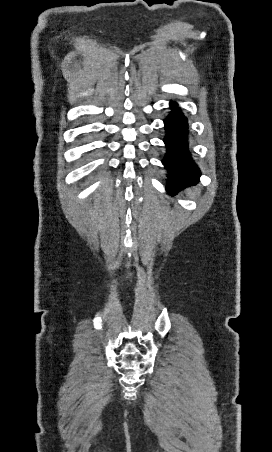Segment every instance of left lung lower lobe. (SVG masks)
Returning a JSON list of instances; mask_svg holds the SVG:
<instances>
[{"instance_id":"0a47b994","label":"left lung lower lobe","mask_w":272,"mask_h":452,"mask_svg":"<svg viewBox=\"0 0 272 452\" xmlns=\"http://www.w3.org/2000/svg\"><path fill=\"white\" fill-rule=\"evenodd\" d=\"M170 106L172 111L164 120L167 154L163 164L169 173L167 191L173 195L183 186L197 182L201 173L189 155L187 118L177 108L176 102H171Z\"/></svg>"}]
</instances>
